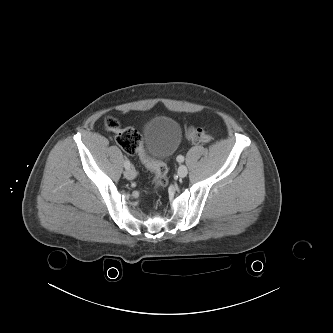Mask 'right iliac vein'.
I'll return each instance as SVG.
<instances>
[{
  "label": "right iliac vein",
  "mask_w": 333,
  "mask_h": 333,
  "mask_svg": "<svg viewBox=\"0 0 333 333\" xmlns=\"http://www.w3.org/2000/svg\"><path fill=\"white\" fill-rule=\"evenodd\" d=\"M124 176L129 179V180H132L136 177V171L133 167H130L129 169H127L125 172H124Z\"/></svg>",
  "instance_id": "obj_1"
}]
</instances>
